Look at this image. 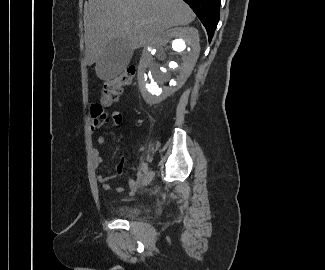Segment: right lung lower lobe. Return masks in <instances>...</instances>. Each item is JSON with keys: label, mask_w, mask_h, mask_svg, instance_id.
<instances>
[{"label": "right lung lower lobe", "mask_w": 325, "mask_h": 270, "mask_svg": "<svg viewBox=\"0 0 325 270\" xmlns=\"http://www.w3.org/2000/svg\"><path fill=\"white\" fill-rule=\"evenodd\" d=\"M206 28L211 41L220 17V0H184Z\"/></svg>", "instance_id": "98d812e1"}]
</instances>
